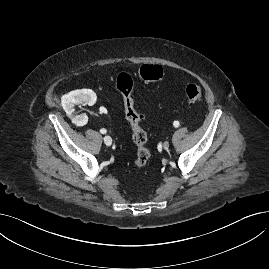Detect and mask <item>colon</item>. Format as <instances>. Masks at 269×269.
<instances>
[{"label": "colon", "instance_id": "5ec220e1", "mask_svg": "<svg viewBox=\"0 0 269 269\" xmlns=\"http://www.w3.org/2000/svg\"><path fill=\"white\" fill-rule=\"evenodd\" d=\"M162 76L163 70L157 65H146L140 69V77L143 80L156 81L162 78ZM115 86L122 97L125 117L131 127L132 138L137 148L133 163L139 169L145 168L150 159L151 152L146 146L147 135L141 126L142 116L137 112L132 97L133 79L127 73H120L116 77ZM185 93L188 101L191 103L201 100L202 90L196 84L187 85Z\"/></svg>", "mask_w": 269, "mask_h": 269}]
</instances>
